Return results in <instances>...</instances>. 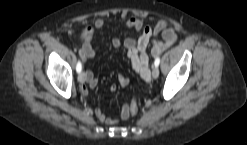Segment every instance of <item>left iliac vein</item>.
Returning <instances> with one entry per match:
<instances>
[{
  "label": "left iliac vein",
  "instance_id": "left-iliac-vein-1",
  "mask_svg": "<svg viewBox=\"0 0 247 145\" xmlns=\"http://www.w3.org/2000/svg\"><path fill=\"white\" fill-rule=\"evenodd\" d=\"M158 76H159V68H158V66H154L152 68V77L154 79H156V78H158Z\"/></svg>",
  "mask_w": 247,
  "mask_h": 145
}]
</instances>
